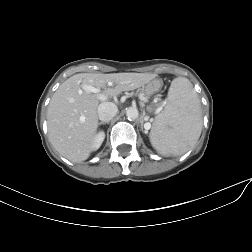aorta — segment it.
I'll return each instance as SVG.
<instances>
[{"label":"aorta","instance_id":"762f6f07","mask_svg":"<svg viewBox=\"0 0 252 252\" xmlns=\"http://www.w3.org/2000/svg\"><path fill=\"white\" fill-rule=\"evenodd\" d=\"M138 110L135 107H129L126 110V116L128 118V120H136L138 118Z\"/></svg>","mask_w":252,"mask_h":252}]
</instances>
